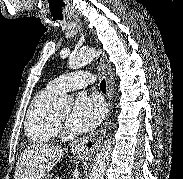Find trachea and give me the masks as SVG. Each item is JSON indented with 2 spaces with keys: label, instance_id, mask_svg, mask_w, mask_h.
Returning <instances> with one entry per match:
<instances>
[{
  "label": "trachea",
  "instance_id": "trachea-1",
  "mask_svg": "<svg viewBox=\"0 0 183 179\" xmlns=\"http://www.w3.org/2000/svg\"><path fill=\"white\" fill-rule=\"evenodd\" d=\"M54 18L55 19H58V20H63V14L62 12H55V13H52ZM100 88L102 91H106V82H105V79H103L100 83Z\"/></svg>",
  "mask_w": 183,
  "mask_h": 179
}]
</instances>
